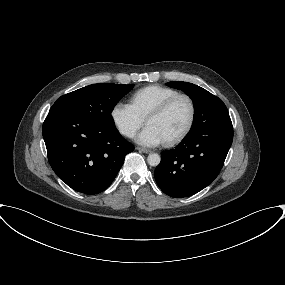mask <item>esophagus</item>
Segmentation results:
<instances>
[{
    "label": "esophagus",
    "mask_w": 285,
    "mask_h": 285,
    "mask_svg": "<svg viewBox=\"0 0 285 285\" xmlns=\"http://www.w3.org/2000/svg\"><path fill=\"white\" fill-rule=\"evenodd\" d=\"M136 149H137L138 151L143 152V153H146V154H148V153H151V152H152V151H151V150H149V149L141 148V147H137Z\"/></svg>",
    "instance_id": "esophagus-1"
}]
</instances>
